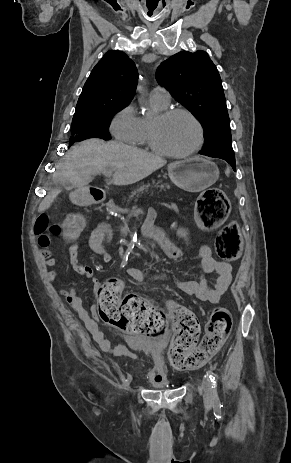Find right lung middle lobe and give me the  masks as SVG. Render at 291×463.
<instances>
[{
  "label": "right lung middle lobe",
  "mask_w": 291,
  "mask_h": 463,
  "mask_svg": "<svg viewBox=\"0 0 291 463\" xmlns=\"http://www.w3.org/2000/svg\"><path fill=\"white\" fill-rule=\"evenodd\" d=\"M128 103L108 101L95 111L74 115L71 125L69 145L90 138L109 140L108 129L113 116Z\"/></svg>",
  "instance_id": "obj_1"
}]
</instances>
